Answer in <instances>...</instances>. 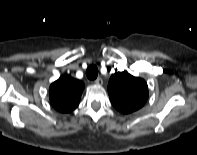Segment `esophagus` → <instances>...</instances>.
<instances>
[{"mask_svg":"<svg viewBox=\"0 0 197 155\" xmlns=\"http://www.w3.org/2000/svg\"><path fill=\"white\" fill-rule=\"evenodd\" d=\"M95 84L97 85H102L103 84V80L102 78L98 77L95 81H94Z\"/></svg>","mask_w":197,"mask_h":155,"instance_id":"1","label":"esophagus"}]
</instances>
